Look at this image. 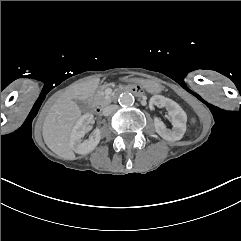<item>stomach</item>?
<instances>
[{
  "mask_svg": "<svg viewBox=\"0 0 241 241\" xmlns=\"http://www.w3.org/2000/svg\"><path fill=\"white\" fill-rule=\"evenodd\" d=\"M136 81L150 93H159L162 91V85L156 81H151L148 79H138Z\"/></svg>",
  "mask_w": 241,
  "mask_h": 241,
  "instance_id": "obj_1",
  "label": "stomach"
}]
</instances>
